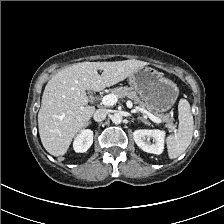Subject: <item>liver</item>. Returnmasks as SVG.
Here are the masks:
<instances>
[{"label":"liver","mask_w":224,"mask_h":224,"mask_svg":"<svg viewBox=\"0 0 224 224\" xmlns=\"http://www.w3.org/2000/svg\"><path fill=\"white\" fill-rule=\"evenodd\" d=\"M140 60L81 62L56 73L45 86L38 112L43 147L53 156L64 155L73 138L88 125L95 112L88 105L87 90L113 86L147 65ZM102 70V74H98Z\"/></svg>","instance_id":"1"}]
</instances>
